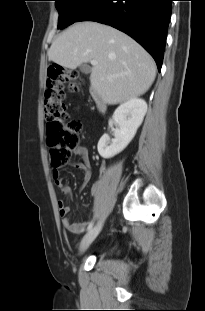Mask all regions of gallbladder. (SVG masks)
Instances as JSON below:
<instances>
[{"label": "gallbladder", "mask_w": 205, "mask_h": 311, "mask_svg": "<svg viewBox=\"0 0 205 311\" xmlns=\"http://www.w3.org/2000/svg\"><path fill=\"white\" fill-rule=\"evenodd\" d=\"M80 70L85 74H88L91 71L90 67L86 64L81 65Z\"/></svg>", "instance_id": "bac80fb5"}]
</instances>
